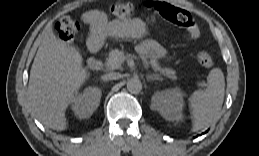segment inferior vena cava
<instances>
[{
	"label": "inferior vena cava",
	"instance_id": "inferior-vena-cava-1",
	"mask_svg": "<svg viewBox=\"0 0 259 156\" xmlns=\"http://www.w3.org/2000/svg\"><path fill=\"white\" fill-rule=\"evenodd\" d=\"M120 77H121V75L119 73L110 72V73H107V74L103 75L102 79L104 81H109V80H117Z\"/></svg>",
	"mask_w": 259,
	"mask_h": 156
}]
</instances>
